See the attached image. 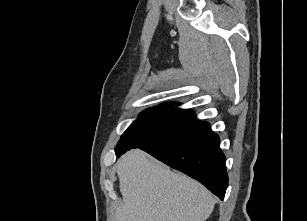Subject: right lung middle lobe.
I'll return each instance as SVG.
<instances>
[{"mask_svg": "<svg viewBox=\"0 0 307 221\" xmlns=\"http://www.w3.org/2000/svg\"><path fill=\"white\" fill-rule=\"evenodd\" d=\"M172 103L143 111L124 132L115 149L117 156L131 148L146 147L171 139L197 125L195 113L172 108Z\"/></svg>", "mask_w": 307, "mask_h": 221, "instance_id": "1", "label": "right lung middle lobe"}]
</instances>
